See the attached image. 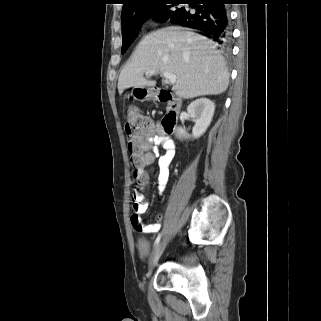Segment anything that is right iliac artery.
<instances>
[{
  "label": "right iliac artery",
  "mask_w": 321,
  "mask_h": 321,
  "mask_svg": "<svg viewBox=\"0 0 321 321\" xmlns=\"http://www.w3.org/2000/svg\"><path fill=\"white\" fill-rule=\"evenodd\" d=\"M161 236H162L161 233L157 236V238H156V240H155V243H154V246H156V245L159 243V241H160V239H161Z\"/></svg>",
  "instance_id": "right-iliac-artery-1"
}]
</instances>
